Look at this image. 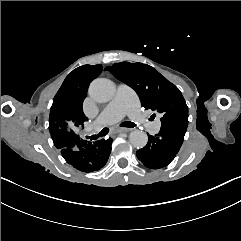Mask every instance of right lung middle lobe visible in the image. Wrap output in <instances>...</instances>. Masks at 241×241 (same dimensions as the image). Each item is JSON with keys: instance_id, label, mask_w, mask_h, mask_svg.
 <instances>
[{"instance_id": "1", "label": "right lung middle lobe", "mask_w": 241, "mask_h": 241, "mask_svg": "<svg viewBox=\"0 0 241 241\" xmlns=\"http://www.w3.org/2000/svg\"><path fill=\"white\" fill-rule=\"evenodd\" d=\"M100 73L101 69L98 65H83L74 69L68 76L77 83L89 85Z\"/></svg>"}]
</instances>
